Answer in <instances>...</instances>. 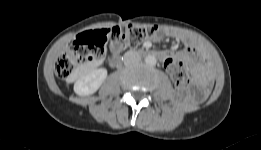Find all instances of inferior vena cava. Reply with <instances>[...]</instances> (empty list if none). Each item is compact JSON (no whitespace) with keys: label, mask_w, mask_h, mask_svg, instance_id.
<instances>
[{"label":"inferior vena cava","mask_w":261,"mask_h":150,"mask_svg":"<svg viewBox=\"0 0 261 150\" xmlns=\"http://www.w3.org/2000/svg\"><path fill=\"white\" fill-rule=\"evenodd\" d=\"M140 60L141 57L136 51H127L124 54V64L126 66L137 64Z\"/></svg>","instance_id":"obj_1"}]
</instances>
